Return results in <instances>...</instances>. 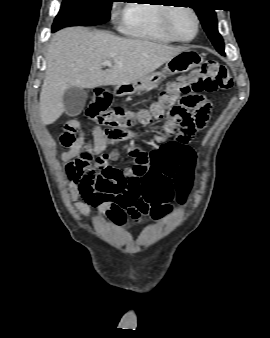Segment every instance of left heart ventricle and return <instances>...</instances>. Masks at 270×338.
I'll list each match as a JSON object with an SVG mask.
<instances>
[{
	"instance_id": "1",
	"label": "left heart ventricle",
	"mask_w": 270,
	"mask_h": 338,
	"mask_svg": "<svg viewBox=\"0 0 270 338\" xmlns=\"http://www.w3.org/2000/svg\"><path fill=\"white\" fill-rule=\"evenodd\" d=\"M172 27L178 37L190 38L195 30L194 18L189 12L178 10L172 16Z\"/></svg>"
}]
</instances>
